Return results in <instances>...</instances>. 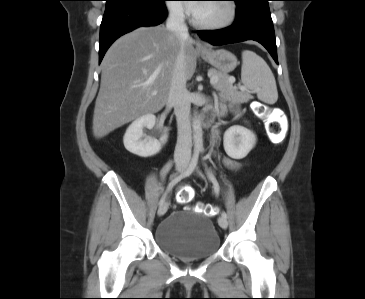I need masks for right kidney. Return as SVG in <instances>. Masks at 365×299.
Returning <instances> with one entry per match:
<instances>
[{
	"mask_svg": "<svg viewBox=\"0 0 365 299\" xmlns=\"http://www.w3.org/2000/svg\"><path fill=\"white\" fill-rule=\"evenodd\" d=\"M156 124V117L152 114L143 115L137 118L127 128L123 138L125 148L140 157H149L157 154L162 145L167 141V133H165L160 140L151 137H145L143 128H153Z\"/></svg>",
	"mask_w": 365,
	"mask_h": 299,
	"instance_id": "right-kidney-1",
	"label": "right kidney"
}]
</instances>
